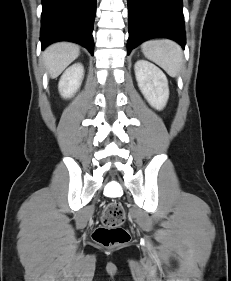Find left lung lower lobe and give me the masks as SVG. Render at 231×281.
Returning <instances> with one entry per match:
<instances>
[{"label":"left lung lower lobe","instance_id":"obj_1","mask_svg":"<svg viewBox=\"0 0 231 281\" xmlns=\"http://www.w3.org/2000/svg\"><path fill=\"white\" fill-rule=\"evenodd\" d=\"M128 15V54L140 43L156 37L173 39L184 48L182 0H128Z\"/></svg>","mask_w":231,"mask_h":281}]
</instances>
